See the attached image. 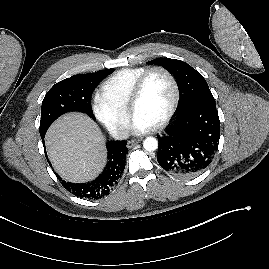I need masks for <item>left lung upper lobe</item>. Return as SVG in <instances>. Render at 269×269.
Masks as SVG:
<instances>
[{
	"label": "left lung upper lobe",
	"mask_w": 269,
	"mask_h": 269,
	"mask_svg": "<svg viewBox=\"0 0 269 269\" xmlns=\"http://www.w3.org/2000/svg\"><path fill=\"white\" fill-rule=\"evenodd\" d=\"M147 63L163 66L175 77L181 99L178 116L193 107L216 106L206 80L189 64L169 58H157Z\"/></svg>",
	"instance_id": "obj_1"
}]
</instances>
